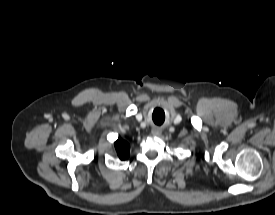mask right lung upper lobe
I'll return each mask as SVG.
<instances>
[{
  "label": "right lung upper lobe",
  "mask_w": 275,
  "mask_h": 215,
  "mask_svg": "<svg viewBox=\"0 0 275 215\" xmlns=\"http://www.w3.org/2000/svg\"><path fill=\"white\" fill-rule=\"evenodd\" d=\"M115 148H116V151H117V154L119 156V158L121 160H125L129 157V149H130V146L129 144L122 140V139H118L115 143Z\"/></svg>",
  "instance_id": "obj_1"
}]
</instances>
